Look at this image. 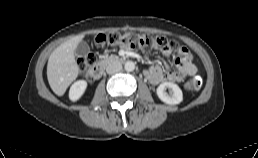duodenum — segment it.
<instances>
[{
    "label": "duodenum",
    "instance_id": "1",
    "mask_svg": "<svg viewBox=\"0 0 258 158\" xmlns=\"http://www.w3.org/2000/svg\"><path fill=\"white\" fill-rule=\"evenodd\" d=\"M124 61H126V59L123 56H114L107 58L106 60L91 67L88 71V75L92 79H97L103 74L107 65L116 64Z\"/></svg>",
    "mask_w": 258,
    "mask_h": 158
}]
</instances>
